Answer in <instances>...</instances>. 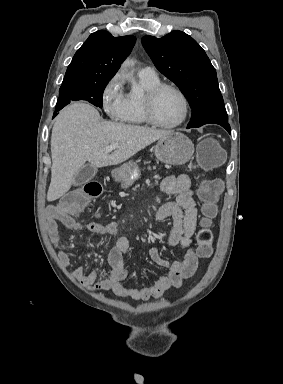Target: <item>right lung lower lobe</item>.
<instances>
[{
	"mask_svg": "<svg viewBox=\"0 0 283 384\" xmlns=\"http://www.w3.org/2000/svg\"><path fill=\"white\" fill-rule=\"evenodd\" d=\"M60 109H56V111H59ZM57 115V113L56 112H54V115H53V117H55Z\"/></svg>",
	"mask_w": 283,
	"mask_h": 384,
	"instance_id": "98d812e1",
	"label": "right lung lower lobe"
}]
</instances>
